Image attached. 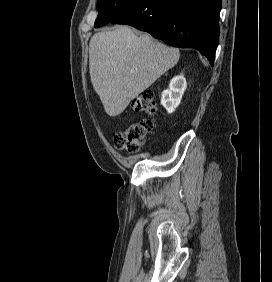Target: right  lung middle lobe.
Segmentation results:
<instances>
[{
    "label": "right lung middle lobe",
    "instance_id": "right-lung-middle-lobe-1",
    "mask_svg": "<svg viewBox=\"0 0 272 282\" xmlns=\"http://www.w3.org/2000/svg\"><path fill=\"white\" fill-rule=\"evenodd\" d=\"M135 1L136 0H98V17L95 21V27L105 25Z\"/></svg>",
    "mask_w": 272,
    "mask_h": 282
}]
</instances>
